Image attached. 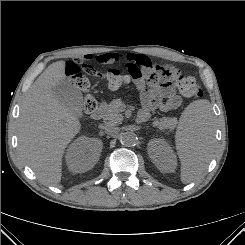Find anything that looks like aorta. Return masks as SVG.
<instances>
[{
  "label": "aorta",
  "instance_id": "obj_1",
  "mask_svg": "<svg viewBox=\"0 0 245 245\" xmlns=\"http://www.w3.org/2000/svg\"><path fill=\"white\" fill-rule=\"evenodd\" d=\"M120 142L124 146L131 147L136 144L137 136L131 131L124 132L120 135Z\"/></svg>",
  "mask_w": 245,
  "mask_h": 245
}]
</instances>
